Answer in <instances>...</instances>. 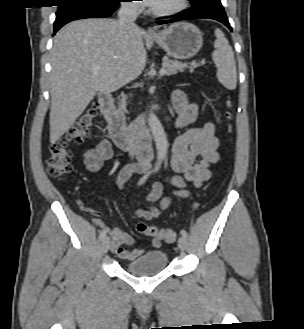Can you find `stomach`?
<instances>
[{"label": "stomach", "instance_id": "1", "mask_svg": "<svg viewBox=\"0 0 304 329\" xmlns=\"http://www.w3.org/2000/svg\"><path fill=\"white\" fill-rule=\"evenodd\" d=\"M153 40L176 59H189L202 47V32L188 22H177L157 33Z\"/></svg>", "mask_w": 304, "mask_h": 329}]
</instances>
